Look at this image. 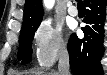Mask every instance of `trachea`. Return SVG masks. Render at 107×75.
Returning a JSON list of instances; mask_svg holds the SVG:
<instances>
[{"label":"trachea","mask_w":107,"mask_h":75,"mask_svg":"<svg viewBox=\"0 0 107 75\" xmlns=\"http://www.w3.org/2000/svg\"><path fill=\"white\" fill-rule=\"evenodd\" d=\"M78 1V5H83V2L81 0H76Z\"/></svg>","instance_id":"trachea-1"}]
</instances>
